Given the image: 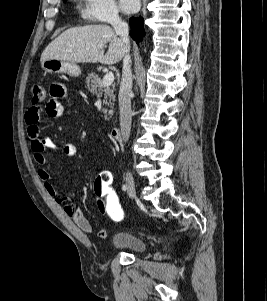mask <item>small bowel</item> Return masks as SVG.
<instances>
[{
  "instance_id": "obj_1",
  "label": "small bowel",
  "mask_w": 267,
  "mask_h": 301,
  "mask_svg": "<svg viewBox=\"0 0 267 301\" xmlns=\"http://www.w3.org/2000/svg\"><path fill=\"white\" fill-rule=\"evenodd\" d=\"M50 99L46 104L45 112L49 117L58 118L64 114L62 100L68 96V91L63 83H53L49 90ZM43 109L39 103H33L25 114V123L27 126V134L30 139L31 150L33 152L34 161L38 165L37 175L42 181L45 190L52 196L57 204L61 205L65 214L72 218L75 225L84 233L91 234L93 232L92 225L87 219L83 211L75 208L74 194L60 196L56 187L51 181L49 173L44 168L46 163L45 151L47 149H57L56 144L48 137H44L39 129L38 123L41 118ZM62 153L67 157H74L77 148L73 143H65L62 147ZM98 210L104 214L101 204L96 200ZM99 238L105 239L108 236L106 230L97 232Z\"/></svg>"
}]
</instances>
